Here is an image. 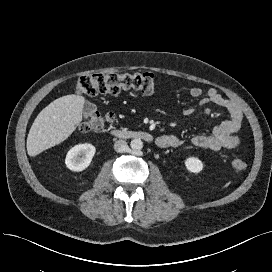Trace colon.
Here are the masks:
<instances>
[{"mask_svg":"<svg viewBox=\"0 0 272 272\" xmlns=\"http://www.w3.org/2000/svg\"><path fill=\"white\" fill-rule=\"evenodd\" d=\"M156 79L150 73H98L85 75L79 78L76 93L85 96L99 94H118L124 90H136L144 94H152L156 89ZM114 115L107 111H93L86 115L81 123V130L97 131L112 122ZM230 166L235 172H242L246 162L241 157H232Z\"/></svg>","mask_w":272,"mask_h":272,"instance_id":"colon-1","label":"colon"}]
</instances>
